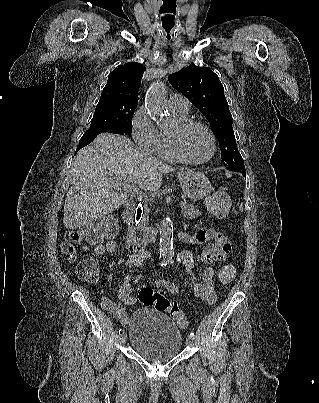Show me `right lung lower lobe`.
<instances>
[{
  "mask_svg": "<svg viewBox=\"0 0 319 403\" xmlns=\"http://www.w3.org/2000/svg\"><path fill=\"white\" fill-rule=\"evenodd\" d=\"M103 132H110V133H116V134H129L127 133L125 130L121 129V128H91L88 129L84 135L82 136V138L79 141V145L76 151H78L79 149H81L82 147L88 145L90 142H92L95 137L97 135H99L100 133Z\"/></svg>",
  "mask_w": 319,
  "mask_h": 403,
  "instance_id": "obj_1",
  "label": "right lung lower lobe"
}]
</instances>
